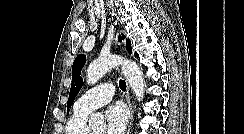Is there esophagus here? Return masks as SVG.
Returning <instances> with one entry per match:
<instances>
[{
    "mask_svg": "<svg viewBox=\"0 0 244 134\" xmlns=\"http://www.w3.org/2000/svg\"><path fill=\"white\" fill-rule=\"evenodd\" d=\"M125 97H126V101L130 110V121L128 124V128H127V134L130 133V129L132 126V121H133V107H132V103H131V99H130V92H129V86L127 84V89H126V93H125Z\"/></svg>",
    "mask_w": 244,
    "mask_h": 134,
    "instance_id": "1",
    "label": "esophagus"
}]
</instances>
